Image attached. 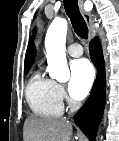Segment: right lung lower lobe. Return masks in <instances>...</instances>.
<instances>
[{"mask_svg":"<svg viewBox=\"0 0 119 141\" xmlns=\"http://www.w3.org/2000/svg\"><path fill=\"white\" fill-rule=\"evenodd\" d=\"M89 49L90 57L98 68V77L87 101L75 114L74 121L90 141H95L105 107V69L102 48L97 38L90 42Z\"/></svg>","mask_w":119,"mask_h":141,"instance_id":"obj_1","label":"right lung lower lobe"}]
</instances>
